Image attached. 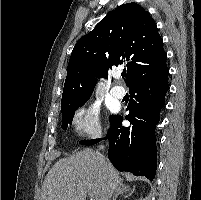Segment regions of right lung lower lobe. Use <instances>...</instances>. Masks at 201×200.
<instances>
[{"label": "right lung lower lobe", "instance_id": "right-lung-lower-lobe-1", "mask_svg": "<svg viewBox=\"0 0 201 200\" xmlns=\"http://www.w3.org/2000/svg\"><path fill=\"white\" fill-rule=\"evenodd\" d=\"M168 75L166 66L129 87L131 99L126 119L131 126L122 127V116L110 118L111 126L106 137L109 140L108 158L117 170L129 171L150 181L154 179L157 155L155 126L169 90ZM99 141L82 140L80 144L93 145Z\"/></svg>", "mask_w": 201, "mask_h": 200}]
</instances>
